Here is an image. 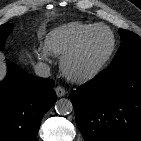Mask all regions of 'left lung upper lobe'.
<instances>
[{
    "label": "left lung upper lobe",
    "instance_id": "1",
    "mask_svg": "<svg viewBox=\"0 0 141 141\" xmlns=\"http://www.w3.org/2000/svg\"><path fill=\"white\" fill-rule=\"evenodd\" d=\"M119 33L121 36V45L110 66L141 59V37L124 29H120Z\"/></svg>",
    "mask_w": 141,
    "mask_h": 141
}]
</instances>
